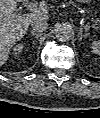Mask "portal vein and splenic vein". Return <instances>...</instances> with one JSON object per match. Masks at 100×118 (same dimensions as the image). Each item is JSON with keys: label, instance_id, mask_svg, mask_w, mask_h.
Instances as JSON below:
<instances>
[{"label": "portal vein and splenic vein", "instance_id": "obj_1", "mask_svg": "<svg viewBox=\"0 0 100 118\" xmlns=\"http://www.w3.org/2000/svg\"><path fill=\"white\" fill-rule=\"evenodd\" d=\"M26 8L32 12L39 11V5L37 3L30 2L26 5Z\"/></svg>", "mask_w": 100, "mask_h": 118}]
</instances>
